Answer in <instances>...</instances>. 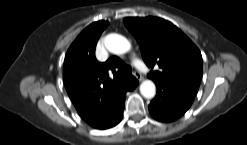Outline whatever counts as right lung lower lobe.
I'll return each mask as SVG.
<instances>
[{"instance_id":"1","label":"right lung lower lobe","mask_w":247,"mask_h":145,"mask_svg":"<svg viewBox=\"0 0 247 145\" xmlns=\"http://www.w3.org/2000/svg\"><path fill=\"white\" fill-rule=\"evenodd\" d=\"M137 85L138 80L135 77H133V79L125 86V88L122 91V98L120 100V104L117 111L114 114L99 120L91 126L97 129H107L117 125L123 117L126 92L134 90Z\"/></svg>"}]
</instances>
